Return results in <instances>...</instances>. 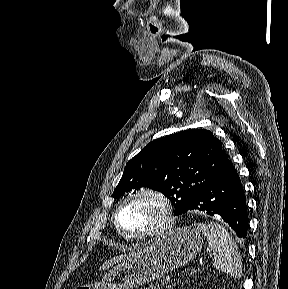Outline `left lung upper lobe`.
I'll return each instance as SVG.
<instances>
[{"label":"left lung upper lobe","instance_id":"5c2ea615","mask_svg":"<svg viewBox=\"0 0 288 289\" xmlns=\"http://www.w3.org/2000/svg\"><path fill=\"white\" fill-rule=\"evenodd\" d=\"M227 159L221 141L209 130L168 135L150 142L128 161L113 197L148 187L163 193L179 215L185 213Z\"/></svg>","mask_w":288,"mask_h":289}]
</instances>
